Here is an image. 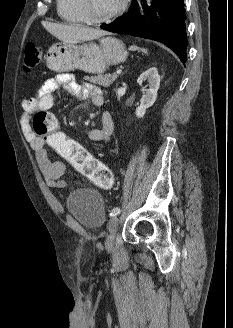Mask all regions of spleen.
I'll return each mask as SVG.
<instances>
[{"instance_id":"3e777b00","label":"spleen","mask_w":233,"mask_h":328,"mask_svg":"<svg viewBox=\"0 0 233 328\" xmlns=\"http://www.w3.org/2000/svg\"><path fill=\"white\" fill-rule=\"evenodd\" d=\"M130 50H132V51H135V50H141L143 53H145V54H147L148 53V51H147V49H144V48H139V47H137V46H135V45H133V46H130V48H129Z\"/></svg>"}]
</instances>
